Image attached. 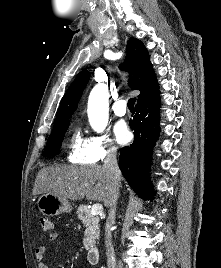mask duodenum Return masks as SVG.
<instances>
[{"mask_svg": "<svg viewBox=\"0 0 221 268\" xmlns=\"http://www.w3.org/2000/svg\"><path fill=\"white\" fill-rule=\"evenodd\" d=\"M100 258V250L97 247H91L88 250L87 259L90 264H96Z\"/></svg>", "mask_w": 221, "mask_h": 268, "instance_id": "obj_1", "label": "duodenum"}]
</instances>
